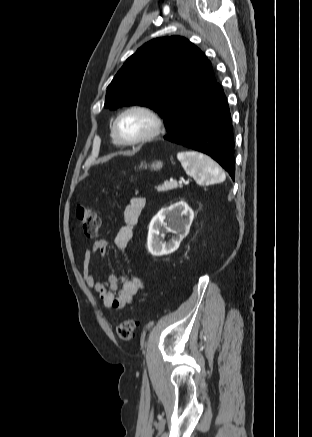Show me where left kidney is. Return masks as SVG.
Here are the masks:
<instances>
[{
    "mask_svg": "<svg viewBox=\"0 0 312 437\" xmlns=\"http://www.w3.org/2000/svg\"><path fill=\"white\" fill-rule=\"evenodd\" d=\"M194 218L192 209L184 202H177L168 208L161 209L149 225L147 246L153 256L173 253L179 248L184 235L189 232ZM167 219V222H165ZM175 236L169 242H163L164 231Z\"/></svg>",
    "mask_w": 312,
    "mask_h": 437,
    "instance_id": "5707ae66",
    "label": "left kidney"
}]
</instances>
